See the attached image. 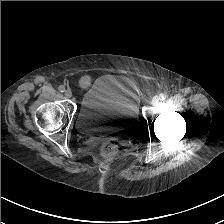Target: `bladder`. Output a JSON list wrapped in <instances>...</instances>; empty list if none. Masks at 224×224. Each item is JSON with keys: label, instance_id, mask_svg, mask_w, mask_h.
Listing matches in <instances>:
<instances>
[{"label": "bladder", "instance_id": "31cf9c89", "mask_svg": "<svg viewBox=\"0 0 224 224\" xmlns=\"http://www.w3.org/2000/svg\"><path fill=\"white\" fill-rule=\"evenodd\" d=\"M75 125L86 136L128 138L139 125L138 101L119 76L102 75L84 92Z\"/></svg>", "mask_w": 224, "mask_h": 224}]
</instances>
